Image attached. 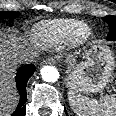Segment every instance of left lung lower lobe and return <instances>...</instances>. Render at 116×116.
Listing matches in <instances>:
<instances>
[{
    "instance_id": "obj_1",
    "label": "left lung lower lobe",
    "mask_w": 116,
    "mask_h": 116,
    "mask_svg": "<svg viewBox=\"0 0 116 116\" xmlns=\"http://www.w3.org/2000/svg\"><path fill=\"white\" fill-rule=\"evenodd\" d=\"M65 112H66V110H65ZM66 116H68L67 112H66Z\"/></svg>"
}]
</instances>
